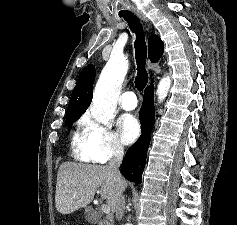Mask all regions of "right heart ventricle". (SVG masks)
Instances as JSON below:
<instances>
[{"instance_id": "obj_1", "label": "right heart ventricle", "mask_w": 237, "mask_h": 225, "mask_svg": "<svg viewBox=\"0 0 237 225\" xmlns=\"http://www.w3.org/2000/svg\"><path fill=\"white\" fill-rule=\"evenodd\" d=\"M77 138H78V137L75 138V141H76V142H77Z\"/></svg>"}]
</instances>
